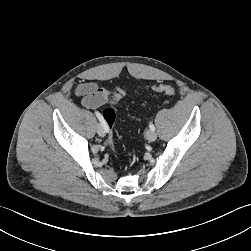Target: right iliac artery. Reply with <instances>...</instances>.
<instances>
[{
    "label": "right iliac artery",
    "mask_w": 251,
    "mask_h": 251,
    "mask_svg": "<svg viewBox=\"0 0 251 251\" xmlns=\"http://www.w3.org/2000/svg\"><path fill=\"white\" fill-rule=\"evenodd\" d=\"M95 115L97 116L99 122L101 123V125L103 126L105 132H108V128H107V125L102 117V115L98 112V111H95Z\"/></svg>",
    "instance_id": "right-iliac-artery-1"
}]
</instances>
